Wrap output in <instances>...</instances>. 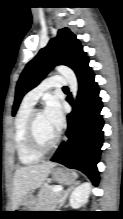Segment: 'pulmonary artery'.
Listing matches in <instances>:
<instances>
[{
    "label": "pulmonary artery",
    "mask_w": 123,
    "mask_h": 219,
    "mask_svg": "<svg viewBox=\"0 0 123 219\" xmlns=\"http://www.w3.org/2000/svg\"><path fill=\"white\" fill-rule=\"evenodd\" d=\"M66 84H67L66 79L60 75H55V76L46 78L37 87L30 90L24 96L23 102L30 104V105H34L45 91L51 88H62L66 86Z\"/></svg>",
    "instance_id": "obj_1"
}]
</instances>
